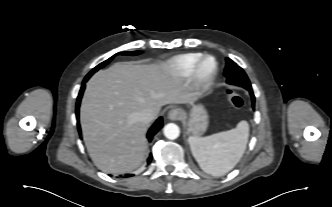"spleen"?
Listing matches in <instances>:
<instances>
[{
    "label": "spleen",
    "mask_w": 332,
    "mask_h": 207,
    "mask_svg": "<svg viewBox=\"0 0 332 207\" xmlns=\"http://www.w3.org/2000/svg\"><path fill=\"white\" fill-rule=\"evenodd\" d=\"M248 136L249 125L243 120L234 129L206 137L190 136L188 142L200 168L213 176H221L240 161Z\"/></svg>",
    "instance_id": "obj_1"
}]
</instances>
